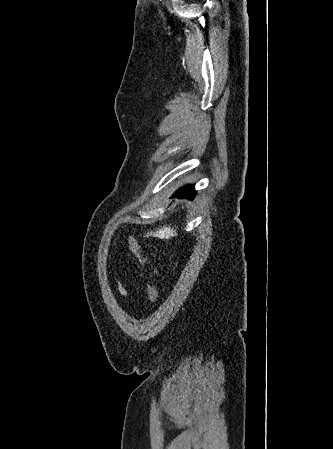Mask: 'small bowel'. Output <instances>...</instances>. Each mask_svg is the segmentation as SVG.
<instances>
[{"mask_svg": "<svg viewBox=\"0 0 333 449\" xmlns=\"http://www.w3.org/2000/svg\"><path fill=\"white\" fill-rule=\"evenodd\" d=\"M118 290H119V292H120V294L122 296H126L127 295V291L121 285H119Z\"/></svg>", "mask_w": 333, "mask_h": 449, "instance_id": "obj_1", "label": "small bowel"}]
</instances>
